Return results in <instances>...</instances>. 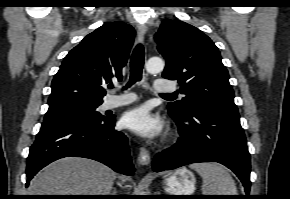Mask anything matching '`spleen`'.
Returning <instances> with one entry per match:
<instances>
[{"instance_id": "spleen-1", "label": "spleen", "mask_w": 290, "mask_h": 199, "mask_svg": "<svg viewBox=\"0 0 290 199\" xmlns=\"http://www.w3.org/2000/svg\"><path fill=\"white\" fill-rule=\"evenodd\" d=\"M203 179V195H237L235 182L228 171L217 163L190 165Z\"/></svg>"}]
</instances>
